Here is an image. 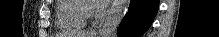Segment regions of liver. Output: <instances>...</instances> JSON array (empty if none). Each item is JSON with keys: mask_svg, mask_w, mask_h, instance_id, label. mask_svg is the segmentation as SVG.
<instances>
[{"mask_svg": "<svg viewBox=\"0 0 219 37\" xmlns=\"http://www.w3.org/2000/svg\"><path fill=\"white\" fill-rule=\"evenodd\" d=\"M78 35H80L79 37H87V34H86V33H80V34H78Z\"/></svg>", "mask_w": 219, "mask_h": 37, "instance_id": "liver-1", "label": "liver"}]
</instances>
